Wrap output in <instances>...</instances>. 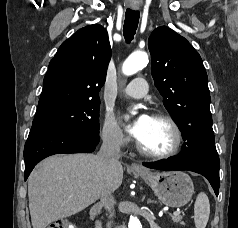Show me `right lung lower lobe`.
Wrapping results in <instances>:
<instances>
[{
	"instance_id": "98d812e1",
	"label": "right lung lower lobe",
	"mask_w": 238,
	"mask_h": 228,
	"mask_svg": "<svg viewBox=\"0 0 238 228\" xmlns=\"http://www.w3.org/2000/svg\"><path fill=\"white\" fill-rule=\"evenodd\" d=\"M99 134L72 128L33 127L24 147L27 180L42 159L59 153H90L99 143Z\"/></svg>"
}]
</instances>
